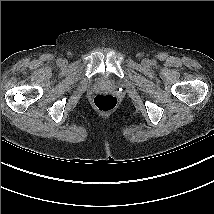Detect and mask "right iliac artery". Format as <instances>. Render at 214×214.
<instances>
[{"label":"right iliac artery","instance_id":"right-iliac-artery-1","mask_svg":"<svg viewBox=\"0 0 214 214\" xmlns=\"http://www.w3.org/2000/svg\"><path fill=\"white\" fill-rule=\"evenodd\" d=\"M57 64H58V65H61V64H62V59H58V60H57Z\"/></svg>","mask_w":214,"mask_h":214}]
</instances>
